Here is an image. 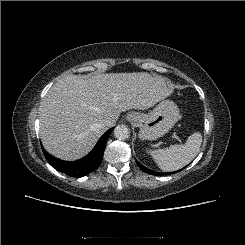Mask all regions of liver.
<instances>
[{
	"label": "liver",
	"mask_w": 245,
	"mask_h": 245,
	"mask_svg": "<svg viewBox=\"0 0 245 245\" xmlns=\"http://www.w3.org/2000/svg\"><path fill=\"white\" fill-rule=\"evenodd\" d=\"M173 85L146 72L66 76L48 91L40 105V138L53 156L73 161L88 154L120 113L145 110L169 96Z\"/></svg>",
	"instance_id": "liver-1"
}]
</instances>
